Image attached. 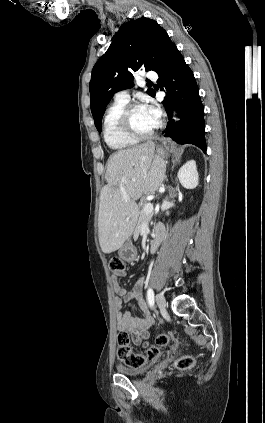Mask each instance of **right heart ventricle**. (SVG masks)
Returning <instances> with one entry per match:
<instances>
[{
    "mask_svg": "<svg viewBox=\"0 0 265 423\" xmlns=\"http://www.w3.org/2000/svg\"><path fill=\"white\" fill-rule=\"evenodd\" d=\"M127 103L115 100L104 115L103 137L106 144L114 151H123L138 143L137 140L126 136L119 127V116Z\"/></svg>",
    "mask_w": 265,
    "mask_h": 423,
    "instance_id": "e07e8e85",
    "label": "right heart ventricle"
}]
</instances>
